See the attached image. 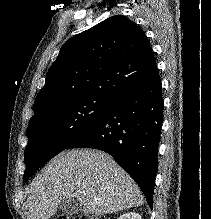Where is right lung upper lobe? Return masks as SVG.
Segmentation results:
<instances>
[{
	"label": "right lung upper lobe",
	"mask_w": 211,
	"mask_h": 219,
	"mask_svg": "<svg viewBox=\"0 0 211 219\" xmlns=\"http://www.w3.org/2000/svg\"><path fill=\"white\" fill-rule=\"evenodd\" d=\"M156 69L142 29L124 15L110 17L62 46L34 102L31 120L79 98L113 101L146 82Z\"/></svg>",
	"instance_id": "right-lung-upper-lobe-1"
}]
</instances>
